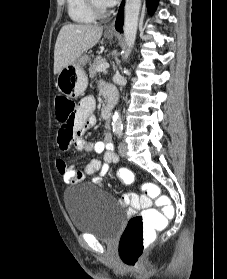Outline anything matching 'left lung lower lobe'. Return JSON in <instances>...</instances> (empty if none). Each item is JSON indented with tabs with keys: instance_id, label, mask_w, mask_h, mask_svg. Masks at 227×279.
Wrapping results in <instances>:
<instances>
[{
	"instance_id": "obj_1",
	"label": "left lung lower lobe",
	"mask_w": 227,
	"mask_h": 279,
	"mask_svg": "<svg viewBox=\"0 0 227 279\" xmlns=\"http://www.w3.org/2000/svg\"><path fill=\"white\" fill-rule=\"evenodd\" d=\"M158 4V0H147V6L150 12H153ZM124 2L121 3L117 19L115 22V28L117 31L122 32V26L124 22V11H123Z\"/></svg>"
}]
</instances>
